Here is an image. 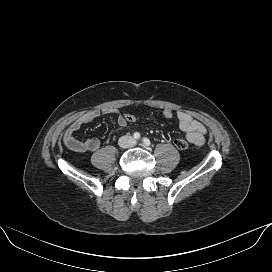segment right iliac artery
<instances>
[{"mask_svg":"<svg viewBox=\"0 0 272 272\" xmlns=\"http://www.w3.org/2000/svg\"><path fill=\"white\" fill-rule=\"evenodd\" d=\"M133 136H134L135 139H139L140 138V134L138 132H135Z\"/></svg>","mask_w":272,"mask_h":272,"instance_id":"obj_1","label":"right iliac artery"}]
</instances>
